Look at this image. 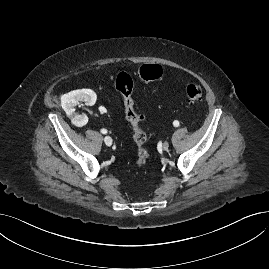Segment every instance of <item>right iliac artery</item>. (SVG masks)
<instances>
[{
	"label": "right iliac artery",
	"instance_id": "right-iliac-artery-1",
	"mask_svg": "<svg viewBox=\"0 0 269 269\" xmlns=\"http://www.w3.org/2000/svg\"><path fill=\"white\" fill-rule=\"evenodd\" d=\"M101 133L102 134H106L107 133V130L106 129H101Z\"/></svg>",
	"mask_w": 269,
	"mask_h": 269
}]
</instances>
